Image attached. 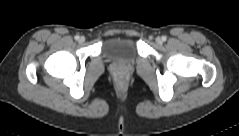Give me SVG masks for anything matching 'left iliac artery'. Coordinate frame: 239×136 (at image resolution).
Returning a JSON list of instances; mask_svg holds the SVG:
<instances>
[{
    "instance_id": "left-iliac-artery-1",
    "label": "left iliac artery",
    "mask_w": 239,
    "mask_h": 136,
    "mask_svg": "<svg viewBox=\"0 0 239 136\" xmlns=\"http://www.w3.org/2000/svg\"><path fill=\"white\" fill-rule=\"evenodd\" d=\"M167 37L166 36H162V41H166Z\"/></svg>"
}]
</instances>
